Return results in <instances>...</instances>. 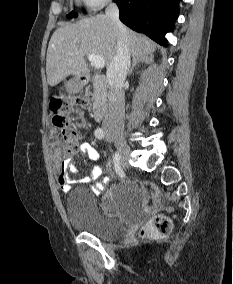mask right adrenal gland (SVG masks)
Returning a JSON list of instances; mask_svg holds the SVG:
<instances>
[{
    "instance_id": "obj_1",
    "label": "right adrenal gland",
    "mask_w": 233,
    "mask_h": 284,
    "mask_svg": "<svg viewBox=\"0 0 233 284\" xmlns=\"http://www.w3.org/2000/svg\"><path fill=\"white\" fill-rule=\"evenodd\" d=\"M143 61H144V59H143V58H140V59H134V60H133V63H132V66H131V68H130V71H129V75H132L133 70H134V68L136 67V65H137L138 63L143 62Z\"/></svg>"
}]
</instances>
